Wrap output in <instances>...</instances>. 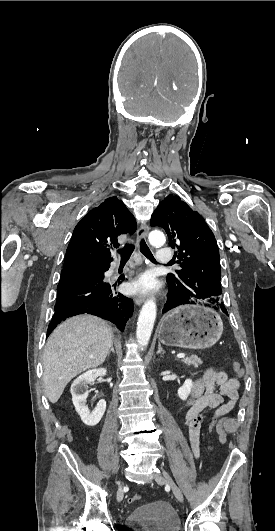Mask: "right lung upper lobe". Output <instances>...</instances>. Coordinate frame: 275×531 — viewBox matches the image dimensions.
Returning a JSON list of instances; mask_svg holds the SVG:
<instances>
[{
  "mask_svg": "<svg viewBox=\"0 0 275 531\" xmlns=\"http://www.w3.org/2000/svg\"><path fill=\"white\" fill-rule=\"evenodd\" d=\"M134 216L117 197L107 198L76 225L68 245L64 267L82 263H109L110 248L119 246L117 237L136 231Z\"/></svg>",
  "mask_w": 275,
  "mask_h": 531,
  "instance_id": "right-lung-upper-lobe-1",
  "label": "right lung upper lobe"
}]
</instances>
